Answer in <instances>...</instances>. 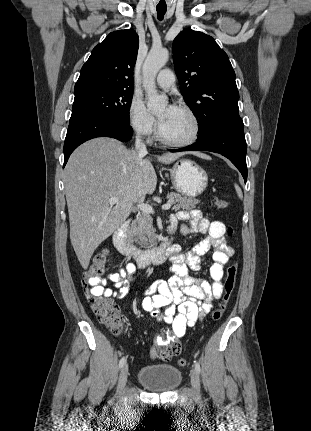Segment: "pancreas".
Returning a JSON list of instances; mask_svg holds the SVG:
<instances>
[{
  "label": "pancreas",
  "instance_id": "obj_1",
  "mask_svg": "<svg viewBox=\"0 0 311 431\" xmlns=\"http://www.w3.org/2000/svg\"><path fill=\"white\" fill-rule=\"evenodd\" d=\"M167 198L173 200L172 210H193V208H197L196 204H200V200H196V198H188V196L175 194V192L167 194ZM152 219L153 217L149 214H139L136 219H133L131 227H128V241L141 245V247H147V249L157 245L156 229L153 227Z\"/></svg>",
  "mask_w": 311,
  "mask_h": 431
}]
</instances>
